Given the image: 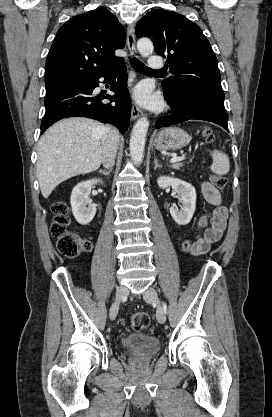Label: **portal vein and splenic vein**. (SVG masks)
<instances>
[{
	"label": "portal vein and splenic vein",
	"instance_id": "obj_1",
	"mask_svg": "<svg viewBox=\"0 0 272 417\" xmlns=\"http://www.w3.org/2000/svg\"><path fill=\"white\" fill-rule=\"evenodd\" d=\"M184 159H185L184 155L183 156H175L170 160V163H175V162H178V161H182Z\"/></svg>",
	"mask_w": 272,
	"mask_h": 417
}]
</instances>
